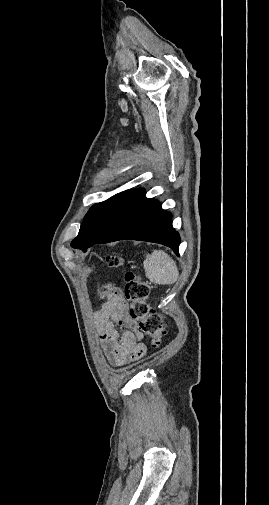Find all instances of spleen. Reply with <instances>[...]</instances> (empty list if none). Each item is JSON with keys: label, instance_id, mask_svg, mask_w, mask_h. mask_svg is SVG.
I'll use <instances>...</instances> for the list:
<instances>
[{"label": "spleen", "instance_id": "spleen-1", "mask_svg": "<svg viewBox=\"0 0 269 505\" xmlns=\"http://www.w3.org/2000/svg\"><path fill=\"white\" fill-rule=\"evenodd\" d=\"M146 277L155 284H174L179 278L175 261L163 250L154 249L143 262Z\"/></svg>", "mask_w": 269, "mask_h": 505}]
</instances>
